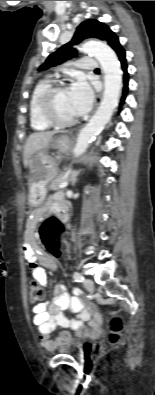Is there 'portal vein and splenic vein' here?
I'll return each instance as SVG.
<instances>
[{"mask_svg": "<svg viewBox=\"0 0 155 395\" xmlns=\"http://www.w3.org/2000/svg\"><path fill=\"white\" fill-rule=\"evenodd\" d=\"M67 185H68V181H67V180H64V181H62V182L59 184L58 188H64V187H66Z\"/></svg>", "mask_w": 155, "mask_h": 395, "instance_id": "obj_1", "label": "portal vein and splenic vein"}]
</instances>
